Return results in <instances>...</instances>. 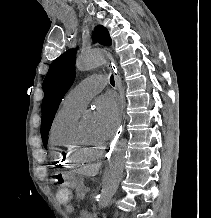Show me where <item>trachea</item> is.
I'll list each match as a JSON object with an SVG mask.
<instances>
[{
    "label": "trachea",
    "instance_id": "obj_1",
    "mask_svg": "<svg viewBox=\"0 0 211 218\" xmlns=\"http://www.w3.org/2000/svg\"><path fill=\"white\" fill-rule=\"evenodd\" d=\"M110 83H111L112 86L115 85V80H114L113 75H111V77H110Z\"/></svg>",
    "mask_w": 211,
    "mask_h": 218
}]
</instances>
